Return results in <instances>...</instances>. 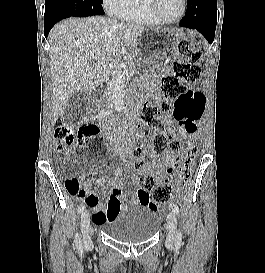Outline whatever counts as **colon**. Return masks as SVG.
<instances>
[{"label":"colon","instance_id":"obj_1","mask_svg":"<svg viewBox=\"0 0 265 273\" xmlns=\"http://www.w3.org/2000/svg\"><path fill=\"white\" fill-rule=\"evenodd\" d=\"M178 54L186 57L188 62H174L173 73L162 79L161 90L163 101L160 105L146 104L141 112L140 130L136 135L137 145L133 149L135 167L140 168L142 161L141 144L148 135L153 134L152 147L156 154H163L167 149L178 152L183 147L185 155L177 165V176L173 178L184 187L189 180L196 153L200 151L202 137L197 122L205 109V95L201 91L189 90L185 82H195L200 79L201 70L196 64L201 53L194 46L193 40L187 36L177 45ZM163 116L170 117L177 128L183 129V142L179 139H168L163 133ZM100 135L98 125L83 123L80 125L62 124L55 130L57 150L62 157L68 156L77 144L94 143ZM172 178H166L164 183H157L151 176L144 179L145 190L153 192L151 203L156 206L167 202L172 194ZM68 193L75 198L85 195L84 184L78 178H68L65 181Z\"/></svg>","mask_w":265,"mask_h":273}]
</instances>
